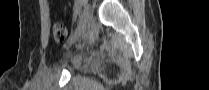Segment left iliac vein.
Returning <instances> with one entry per match:
<instances>
[{
	"label": "left iliac vein",
	"instance_id": "1",
	"mask_svg": "<svg viewBox=\"0 0 209 90\" xmlns=\"http://www.w3.org/2000/svg\"><path fill=\"white\" fill-rule=\"evenodd\" d=\"M91 18V9L90 5L87 4L83 10L81 19L78 21V29H73V39L71 38L68 41V45H71L74 42V39H80V36L84 34V32L88 31L86 23L90 20Z\"/></svg>",
	"mask_w": 209,
	"mask_h": 90
}]
</instances>
